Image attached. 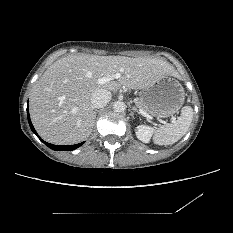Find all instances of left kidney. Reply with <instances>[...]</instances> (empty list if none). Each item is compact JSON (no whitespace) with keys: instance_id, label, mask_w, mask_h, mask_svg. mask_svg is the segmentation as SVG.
<instances>
[{"instance_id":"5707ae66","label":"left kidney","mask_w":233,"mask_h":233,"mask_svg":"<svg viewBox=\"0 0 233 233\" xmlns=\"http://www.w3.org/2000/svg\"><path fill=\"white\" fill-rule=\"evenodd\" d=\"M136 136L137 138L144 142V143H149L150 138L153 133V128L146 126V125H139L136 127Z\"/></svg>"}]
</instances>
